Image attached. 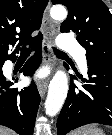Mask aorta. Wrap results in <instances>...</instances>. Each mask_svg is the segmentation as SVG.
Here are the masks:
<instances>
[{"label":"aorta","instance_id":"1","mask_svg":"<svg viewBox=\"0 0 112 135\" xmlns=\"http://www.w3.org/2000/svg\"><path fill=\"white\" fill-rule=\"evenodd\" d=\"M50 15L55 20H64L67 10L63 6L51 8ZM68 93V78L64 71H57L53 76L45 101V111L49 117H54L61 110Z\"/></svg>","mask_w":112,"mask_h":135}]
</instances>
